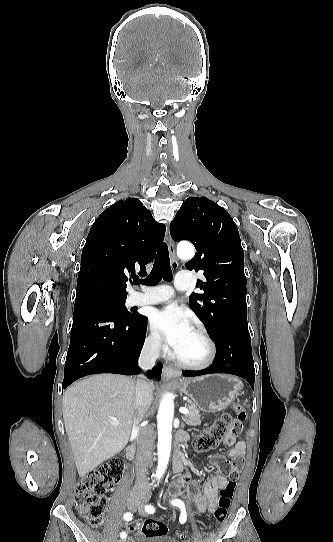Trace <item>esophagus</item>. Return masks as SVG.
Masks as SVG:
<instances>
[{
    "label": "esophagus",
    "instance_id": "1",
    "mask_svg": "<svg viewBox=\"0 0 333 542\" xmlns=\"http://www.w3.org/2000/svg\"><path fill=\"white\" fill-rule=\"evenodd\" d=\"M166 241H167V244H168V249H169V252H170V255H171V266H172V269L173 270H176L177 267H178V262H177V259L175 257V247H174V243L170 237V233H169V228L167 226L166 228ZM181 370L177 369V368H174L170 365H164V368H163V378L164 379H172V378H178L181 376Z\"/></svg>",
    "mask_w": 333,
    "mask_h": 542
}]
</instances>
